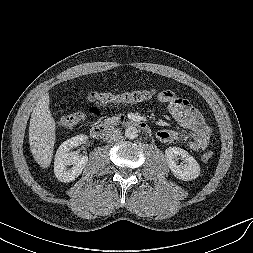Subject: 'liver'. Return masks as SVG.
<instances>
[{
  "label": "liver",
  "instance_id": "liver-1",
  "mask_svg": "<svg viewBox=\"0 0 253 253\" xmlns=\"http://www.w3.org/2000/svg\"><path fill=\"white\" fill-rule=\"evenodd\" d=\"M49 102V94H42L33 109L29 126L31 153L44 169L51 164L56 140V123L49 110Z\"/></svg>",
  "mask_w": 253,
  "mask_h": 253
}]
</instances>
